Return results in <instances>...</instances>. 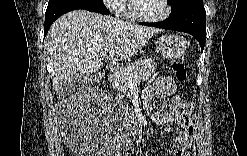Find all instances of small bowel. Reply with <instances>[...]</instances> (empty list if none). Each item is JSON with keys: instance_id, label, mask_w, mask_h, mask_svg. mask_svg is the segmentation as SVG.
I'll list each match as a JSON object with an SVG mask.
<instances>
[{"instance_id": "c3829d8e", "label": "small bowel", "mask_w": 247, "mask_h": 156, "mask_svg": "<svg viewBox=\"0 0 247 156\" xmlns=\"http://www.w3.org/2000/svg\"><path fill=\"white\" fill-rule=\"evenodd\" d=\"M176 84L170 77H158L155 83L149 86L144 94L145 102L150 101L154 96L169 98V103H163L164 111L154 117V122L159 125L176 124L178 133L175 137L177 147L174 155L184 156L190 154L194 135V123L192 119L193 105L175 96Z\"/></svg>"}]
</instances>
